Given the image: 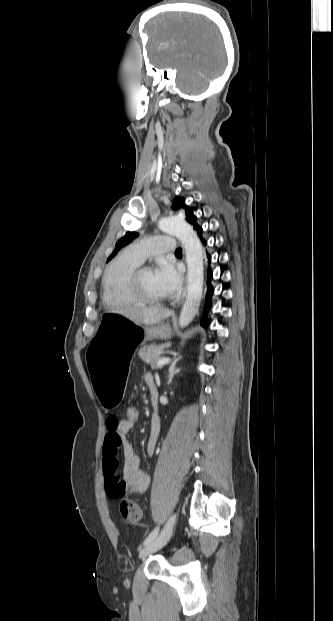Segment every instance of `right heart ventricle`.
Here are the masks:
<instances>
[{
    "mask_svg": "<svg viewBox=\"0 0 333 621\" xmlns=\"http://www.w3.org/2000/svg\"><path fill=\"white\" fill-rule=\"evenodd\" d=\"M140 264L127 252L111 262L102 280V299L106 306L120 307L138 303L129 295L127 282L132 272Z\"/></svg>",
    "mask_w": 333,
    "mask_h": 621,
    "instance_id": "e07e8e85",
    "label": "right heart ventricle"
}]
</instances>
